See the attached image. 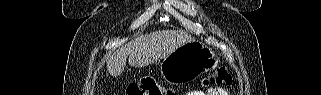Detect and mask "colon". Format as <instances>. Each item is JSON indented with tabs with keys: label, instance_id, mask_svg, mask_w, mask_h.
<instances>
[{
	"label": "colon",
	"instance_id": "obj_1",
	"mask_svg": "<svg viewBox=\"0 0 321 95\" xmlns=\"http://www.w3.org/2000/svg\"><path fill=\"white\" fill-rule=\"evenodd\" d=\"M233 77L230 72L224 68L213 71L203 80L204 86L209 85H231ZM127 95H172L171 89L163 87L154 78H143L138 83H131L127 88Z\"/></svg>",
	"mask_w": 321,
	"mask_h": 95
}]
</instances>
